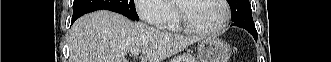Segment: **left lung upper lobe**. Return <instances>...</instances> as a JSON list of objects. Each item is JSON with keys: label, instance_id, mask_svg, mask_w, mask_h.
Masks as SVG:
<instances>
[{"label": "left lung upper lobe", "instance_id": "obj_1", "mask_svg": "<svg viewBox=\"0 0 331 62\" xmlns=\"http://www.w3.org/2000/svg\"><path fill=\"white\" fill-rule=\"evenodd\" d=\"M231 8L232 26L246 29L257 39V31L252 19V10L249 0H227Z\"/></svg>", "mask_w": 331, "mask_h": 62}]
</instances>
